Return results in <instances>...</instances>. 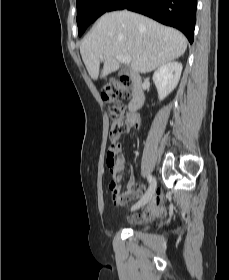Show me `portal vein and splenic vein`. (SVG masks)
Returning <instances> with one entry per match:
<instances>
[{
  "label": "portal vein and splenic vein",
  "mask_w": 229,
  "mask_h": 280,
  "mask_svg": "<svg viewBox=\"0 0 229 280\" xmlns=\"http://www.w3.org/2000/svg\"><path fill=\"white\" fill-rule=\"evenodd\" d=\"M115 57L119 62H121L125 65H128L131 62V57L130 56L116 55Z\"/></svg>",
  "instance_id": "18ae733b"
}]
</instances>
